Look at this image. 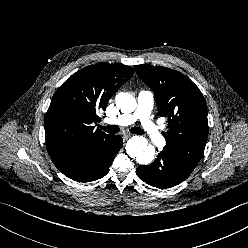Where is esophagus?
Segmentation results:
<instances>
[{"instance_id":"esophagus-1","label":"esophagus","mask_w":248,"mask_h":248,"mask_svg":"<svg viewBox=\"0 0 248 248\" xmlns=\"http://www.w3.org/2000/svg\"><path fill=\"white\" fill-rule=\"evenodd\" d=\"M131 136H132V135L129 134V133H123V134H122V137H123L124 140H127V139L130 138Z\"/></svg>"}]
</instances>
